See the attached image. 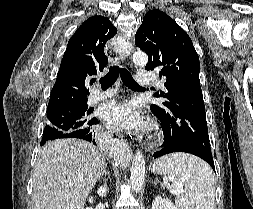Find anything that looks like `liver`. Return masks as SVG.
Wrapping results in <instances>:
<instances>
[{
  "instance_id": "1",
  "label": "liver",
  "mask_w": 253,
  "mask_h": 209,
  "mask_svg": "<svg viewBox=\"0 0 253 209\" xmlns=\"http://www.w3.org/2000/svg\"><path fill=\"white\" fill-rule=\"evenodd\" d=\"M105 168L104 155L87 141L68 138L46 144L34 167V209H83Z\"/></svg>"
}]
</instances>
